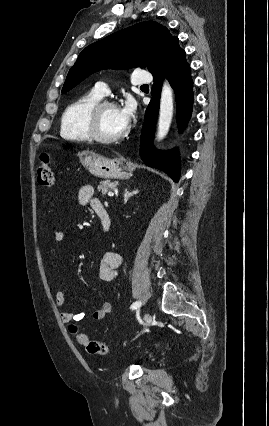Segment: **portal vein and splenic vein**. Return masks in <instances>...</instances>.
Listing matches in <instances>:
<instances>
[{
  "label": "portal vein and splenic vein",
  "mask_w": 269,
  "mask_h": 426,
  "mask_svg": "<svg viewBox=\"0 0 269 426\" xmlns=\"http://www.w3.org/2000/svg\"><path fill=\"white\" fill-rule=\"evenodd\" d=\"M108 196L113 197V196H114V193H113V192H109V193H108Z\"/></svg>",
  "instance_id": "portal-vein-and-splenic-vein-1"
}]
</instances>
